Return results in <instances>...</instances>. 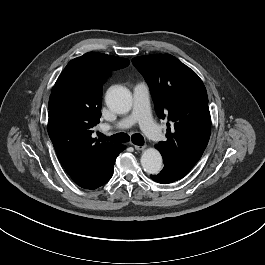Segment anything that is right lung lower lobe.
I'll return each mask as SVG.
<instances>
[{
	"instance_id": "right-lung-lower-lobe-1",
	"label": "right lung lower lobe",
	"mask_w": 265,
	"mask_h": 265,
	"mask_svg": "<svg viewBox=\"0 0 265 265\" xmlns=\"http://www.w3.org/2000/svg\"><path fill=\"white\" fill-rule=\"evenodd\" d=\"M116 145L97 154L82 170L70 175L72 180L84 189H96L110 180L117 156L124 150Z\"/></svg>"
}]
</instances>
